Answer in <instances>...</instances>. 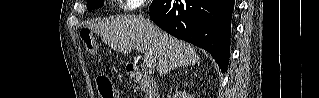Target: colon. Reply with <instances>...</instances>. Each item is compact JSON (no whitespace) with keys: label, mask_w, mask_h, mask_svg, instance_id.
<instances>
[{"label":"colon","mask_w":319,"mask_h":98,"mask_svg":"<svg viewBox=\"0 0 319 98\" xmlns=\"http://www.w3.org/2000/svg\"><path fill=\"white\" fill-rule=\"evenodd\" d=\"M81 39L85 50L91 54H97V46L93 37L92 32L89 29H83L81 31ZM96 84L102 98H117V94L113 88L110 79L106 76H98Z\"/></svg>","instance_id":"5ec220e1"}]
</instances>
